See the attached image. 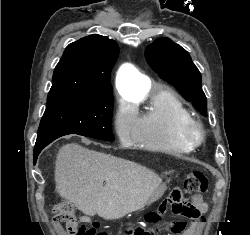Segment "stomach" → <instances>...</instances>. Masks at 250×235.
Returning <instances> with one entry per match:
<instances>
[{"instance_id": "obj_1", "label": "stomach", "mask_w": 250, "mask_h": 235, "mask_svg": "<svg viewBox=\"0 0 250 235\" xmlns=\"http://www.w3.org/2000/svg\"><path fill=\"white\" fill-rule=\"evenodd\" d=\"M165 191V186H160L153 194V196L151 197V199L149 200V203L157 200L158 198H160L163 193Z\"/></svg>"}]
</instances>
